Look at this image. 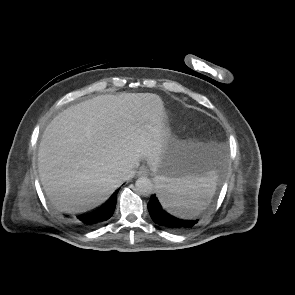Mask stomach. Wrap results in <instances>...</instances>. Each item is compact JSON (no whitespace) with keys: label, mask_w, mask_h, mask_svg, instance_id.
Returning <instances> with one entry per match:
<instances>
[{"label":"stomach","mask_w":295,"mask_h":295,"mask_svg":"<svg viewBox=\"0 0 295 295\" xmlns=\"http://www.w3.org/2000/svg\"><path fill=\"white\" fill-rule=\"evenodd\" d=\"M211 152L199 142L176 141L169 138L161 159L151 170L154 175L167 178L200 177L211 165Z\"/></svg>","instance_id":"0dacf381"}]
</instances>
